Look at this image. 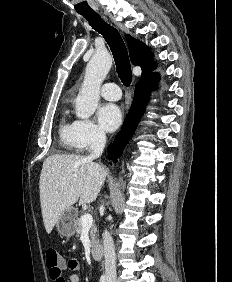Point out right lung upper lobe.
<instances>
[{"label":"right lung upper lobe","mask_w":232,"mask_h":282,"mask_svg":"<svg viewBox=\"0 0 232 282\" xmlns=\"http://www.w3.org/2000/svg\"><path fill=\"white\" fill-rule=\"evenodd\" d=\"M128 43L129 55L132 64L139 65L142 69V76L152 73V70L156 67L152 61V54L149 48L142 42L126 35Z\"/></svg>","instance_id":"right-lung-upper-lobe-1"}]
</instances>
